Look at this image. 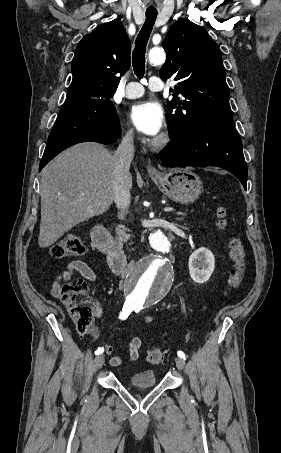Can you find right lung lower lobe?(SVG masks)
Masks as SVG:
<instances>
[{"mask_svg": "<svg viewBox=\"0 0 281 453\" xmlns=\"http://www.w3.org/2000/svg\"><path fill=\"white\" fill-rule=\"evenodd\" d=\"M121 134L111 101L64 102L49 135L39 171L64 149L80 142L113 143Z\"/></svg>", "mask_w": 281, "mask_h": 453, "instance_id": "right-lung-lower-lobe-1", "label": "right lung lower lobe"}]
</instances>
